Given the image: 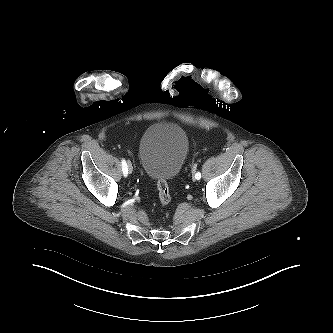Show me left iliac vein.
<instances>
[{"mask_svg":"<svg viewBox=\"0 0 333 333\" xmlns=\"http://www.w3.org/2000/svg\"><path fill=\"white\" fill-rule=\"evenodd\" d=\"M193 180H196L195 176H193Z\"/></svg>","mask_w":333,"mask_h":333,"instance_id":"left-iliac-vein-1","label":"left iliac vein"}]
</instances>
